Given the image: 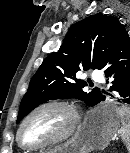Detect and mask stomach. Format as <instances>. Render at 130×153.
I'll list each match as a JSON object with an SVG mask.
<instances>
[{"label":"stomach","instance_id":"obj_1","mask_svg":"<svg viewBox=\"0 0 130 153\" xmlns=\"http://www.w3.org/2000/svg\"><path fill=\"white\" fill-rule=\"evenodd\" d=\"M121 119L114 104L91 110L75 135L64 146L45 153H89L106 147L120 127Z\"/></svg>","mask_w":130,"mask_h":153}]
</instances>
